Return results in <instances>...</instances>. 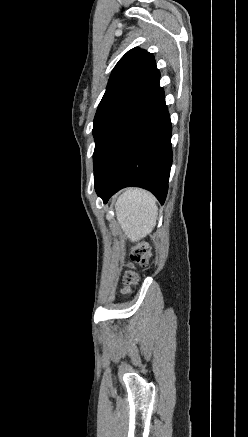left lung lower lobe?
<instances>
[{
	"label": "left lung lower lobe",
	"instance_id": "obj_1",
	"mask_svg": "<svg viewBox=\"0 0 248 437\" xmlns=\"http://www.w3.org/2000/svg\"><path fill=\"white\" fill-rule=\"evenodd\" d=\"M171 132L164 90L159 88L120 125L102 154L94 186L104 203L128 186L147 189L164 203L172 164Z\"/></svg>",
	"mask_w": 248,
	"mask_h": 437
}]
</instances>
